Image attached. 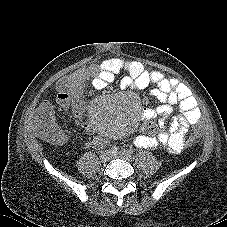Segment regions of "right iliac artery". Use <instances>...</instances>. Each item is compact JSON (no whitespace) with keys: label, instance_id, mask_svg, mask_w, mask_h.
Here are the masks:
<instances>
[{"label":"right iliac artery","instance_id":"obj_1","mask_svg":"<svg viewBox=\"0 0 227 227\" xmlns=\"http://www.w3.org/2000/svg\"><path fill=\"white\" fill-rule=\"evenodd\" d=\"M117 150H118V148H117L116 146H113V147H111L110 152H111L112 154H114V153L117 152Z\"/></svg>","mask_w":227,"mask_h":227}]
</instances>
